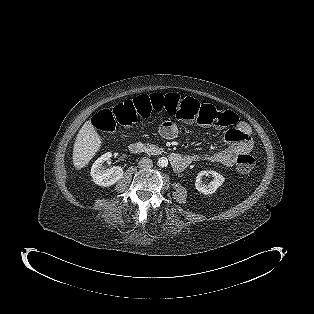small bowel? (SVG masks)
Returning <instances> with one entry per match:
<instances>
[{
	"mask_svg": "<svg viewBox=\"0 0 314 314\" xmlns=\"http://www.w3.org/2000/svg\"><path fill=\"white\" fill-rule=\"evenodd\" d=\"M236 119L234 112L228 111ZM237 123V120L235 121ZM234 123V124H235ZM159 134L163 139H173L179 134V127L173 121H165L160 125ZM224 147L218 151L205 152L191 156L192 160H204L213 163L232 166L237 157L243 153H249L253 148L251 128L245 122L237 123L235 128L229 129L221 136Z\"/></svg>",
	"mask_w": 314,
	"mask_h": 314,
	"instance_id": "small-bowel-1",
	"label": "small bowel"
}]
</instances>
